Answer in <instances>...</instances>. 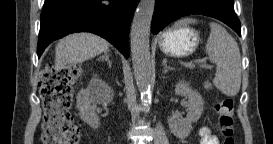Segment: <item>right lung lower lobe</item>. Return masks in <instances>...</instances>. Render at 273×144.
Instances as JSON below:
<instances>
[{
    "label": "right lung lower lobe",
    "instance_id": "right-lung-lower-lobe-1",
    "mask_svg": "<svg viewBox=\"0 0 273 144\" xmlns=\"http://www.w3.org/2000/svg\"><path fill=\"white\" fill-rule=\"evenodd\" d=\"M139 0H45L41 13L38 57L54 40L74 32L107 39L129 57V28Z\"/></svg>",
    "mask_w": 273,
    "mask_h": 144
}]
</instances>
